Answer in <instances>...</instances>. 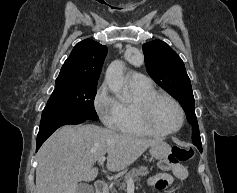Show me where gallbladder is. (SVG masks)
Masks as SVG:
<instances>
[{
	"instance_id": "1",
	"label": "gallbladder",
	"mask_w": 237,
	"mask_h": 193,
	"mask_svg": "<svg viewBox=\"0 0 237 193\" xmlns=\"http://www.w3.org/2000/svg\"><path fill=\"white\" fill-rule=\"evenodd\" d=\"M77 193H94V190L92 186L81 183L78 185Z\"/></svg>"
}]
</instances>
